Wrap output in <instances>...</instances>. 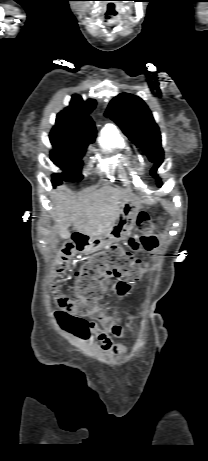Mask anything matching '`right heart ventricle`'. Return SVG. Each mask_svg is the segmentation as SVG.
<instances>
[{
    "label": "right heart ventricle",
    "instance_id": "right-heart-ventricle-1",
    "mask_svg": "<svg viewBox=\"0 0 208 461\" xmlns=\"http://www.w3.org/2000/svg\"><path fill=\"white\" fill-rule=\"evenodd\" d=\"M99 147L103 155L113 158L131 153L128 143L113 126L104 128Z\"/></svg>",
    "mask_w": 208,
    "mask_h": 461
}]
</instances>
